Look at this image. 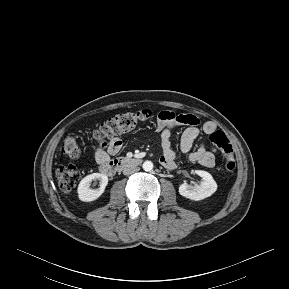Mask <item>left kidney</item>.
<instances>
[{"mask_svg":"<svg viewBox=\"0 0 289 289\" xmlns=\"http://www.w3.org/2000/svg\"><path fill=\"white\" fill-rule=\"evenodd\" d=\"M195 173L202 178V183L200 185L181 184L179 187L180 195L194 201H199L216 192L217 183L211 174L203 170H195Z\"/></svg>","mask_w":289,"mask_h":289,"instance_id":"obj_1","label":"left kidney"}]
</instances>
